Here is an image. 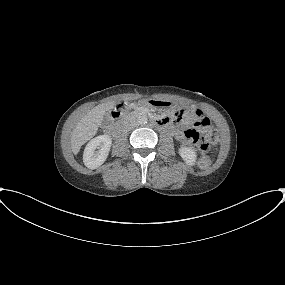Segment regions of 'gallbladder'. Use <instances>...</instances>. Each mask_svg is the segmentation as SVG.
Listing matches in <instances>:
<instances>
[{"instance_id":"bac80fb5","label":"gallbladder","mask_w":285,"mask_h":285,"mask_svg":"<svg viewBox=\"0 0 285 285\" xmlns=\"http://www.w3.org/2000/svg\"><path fill=\"white\" fill-rule=\"evenodd\" d=\"M102 121H103L104 123H109V122L111 121L110 115H109L108 113H106V114L104 115V118H103Z\"/></svg>"}]
</instances>
